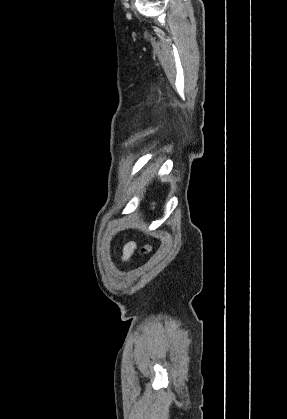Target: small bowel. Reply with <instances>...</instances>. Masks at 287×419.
Returning a JSON list of instances; mask_svg holds the SVG:
<instances>
[{"mask_svg": "<svg viewBox=\"0 0 287 419\" xmlns=\"http://www.w3.org/2000/svg\"><path fill=\"white\" fill-rule=\"evenodd\" d=\"M133 249H134V244L133 243H130V244H128L124 247V250H123L124 259H128L130 257V255L132 254Z\"/></svg>", "mask_w": 287, "mask_h": 419, "instance_id": "1", "label": "small bowel"}]
</instances>
